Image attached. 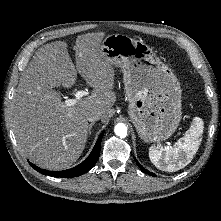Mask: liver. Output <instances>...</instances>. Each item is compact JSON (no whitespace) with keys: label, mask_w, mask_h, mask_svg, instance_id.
I'll return each mask as SVG.
<instances>
[{"label":"liver","mask_w":221,"mask_h":221,"mask_svg":"<svg viewBox=\"0 0 221 221\" xmlns=\"http://www.w3.org/2000/svg\"><path fill=\"white\" fill-rule=\"evenodd\" d=\"M104 37V33H87L76 38L77 69L68 44L56 41L40 47L21 74L11 125L19 149L36 165L51 170L71 166L87 142V112L97 110L101 120H107L116 95L114 69L101 50ZM77 72L93 88L92 94L65 106L55 87L72 88Z\"/></svg>","instance_id":"6515ba94"}]
</instances>
